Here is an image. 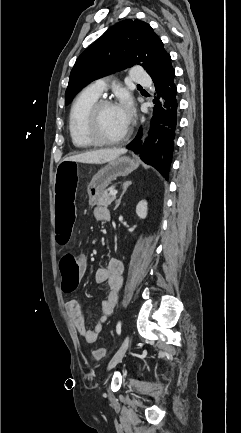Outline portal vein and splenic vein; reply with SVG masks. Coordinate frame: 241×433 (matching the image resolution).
<instances>
[{
  "label": "portal vein and splenic vein",
  "instance_id": "18ae733b",
  "mask_svg": "<svg viewBox=\"0 0 241 433\" xmlns=\"http://www.w3.org/2000/svg\"><path fill=\"white\" fill-rule=\"evenodd\" d=\"M117 192H118L117 190H111L110 191V195L111 196H115L117 194Z\"/></svg>",
  "mask_w": 241,
  "mask_h": 433
}]
</instances>
